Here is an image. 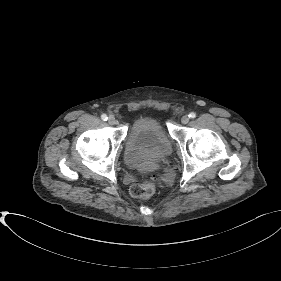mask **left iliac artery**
Listing matches in <instances>:
<instances>
[{"label":"left iliac artery","mask_w":281,"mask_h":281,"mask_svg":"<svg viewBox=\"0 0 281 281\" xmlns=\"http://www.w3.org/2000/svg\"><path fill=\"white\" fill-rule=\"evenodd\" d=\"M189 117H190L191 119H194V118L196 117V114H195L194 112H191V113L189 114Z\"/></svg>","instance_id":"44dca946"}]
</instances>
